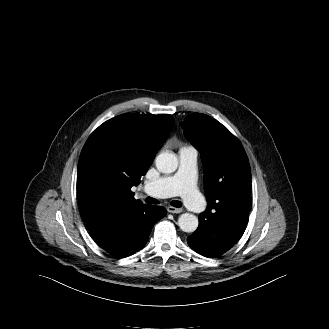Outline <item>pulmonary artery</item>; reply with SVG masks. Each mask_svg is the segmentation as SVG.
<instances>
[{
    "mask_svg": "<svg viewBox=\"0 0 329 329\" xmlns=\"http://www.w3.org/2000/svg\"><path fill=\"white\" fill-rule=\"evenodd\" d=\"M198 150L185 146L179 150V167L172 175L147 182L144 191L154 197H171L179 195L185 206L199 213L205 210L206 204L196 187Z\"/></svg>",
    "mask_w": 329,
    "mask_h": 329,
    "instance_id": "1",
    "label": "pulmonary artery"
}]
</instances>
